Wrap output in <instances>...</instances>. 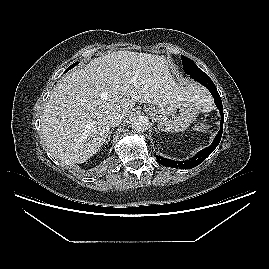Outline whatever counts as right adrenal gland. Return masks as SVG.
<instances>
[{"instance_id":"2a0ac1e0","label":"right adrenal gland","mask_w":269,"mask_h":269,"mask_svg":"<svg viewBox=\"0 0 269 269\" xmlns=\"http://www.w3.org/2000/svg\"><path fill=\"white\" fill-rule=\"evenodd\" d=\"M112 132H113V129H111L109 131V135H108V139H107L106 143H108L110 141V137H111Z\"/></svg>"}]
</instances>
